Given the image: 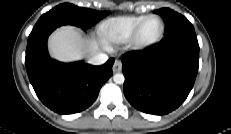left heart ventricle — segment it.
Returning <instances> with one entry per match:
<instances>
[{
  "label": "left heart ventricle",
  "instance_id": "left-heart-ventricle-1",
  "mask_svg": "<svg viewBox=\"0 0 231 134\" xmlns=\"http://www.w3.org/2000/svg\"><path fill=\"white\" fill-rule=\"evenodd\" d=\"M161 29L160 21L157 19H151L145 25L143 32H142V39L143 40H151L158 35Z\"/></svg>",
  "mask_w": 231,
  "mask_h": 134
}]
</instances>
